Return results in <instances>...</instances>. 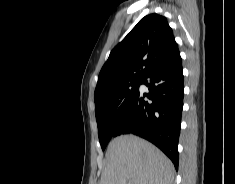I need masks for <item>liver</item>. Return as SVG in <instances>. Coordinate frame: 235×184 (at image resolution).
I'll use <instances>...</instances> for the list:
<instances>
[{
    "mask_svg": "<svg viewBox=\"0 0 235 184\" xmlns=\"http://www.w3.org/2000/svg\"><path fill=\"white\" fill-rule=\"evenodd\" d=\"M100 184H173L174 166L158 148L137 136H118L106 152Z\"/></svg>",
    "mask_w": 235,
    "mask_h": 184,
    "instance_id": "1",
    "label": "liver"
}]
</instances>
